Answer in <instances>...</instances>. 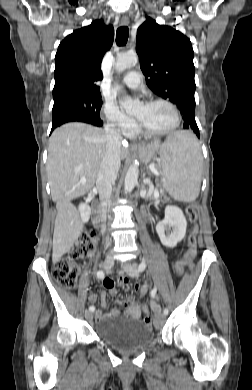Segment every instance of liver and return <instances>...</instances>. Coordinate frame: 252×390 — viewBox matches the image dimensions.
Wrapping results in <instances>:
<instances>
[{
  "instance_id": "obj_1",
  "label": "liver",
  "mask_w": 252,
  "mask_h": 390,
  "mask_svg": "<svg viewBox=\"0 0 252 390\" xmlns=\"http://www.w3.org/2000/svg\"><path fill=\"white\" fill-rule=\"evenodd\" d=\"M106 144L103 129L78 122L55 129L49 139L47 177L57 208L53 262H58L71 250L83 230V223L71 200L94 187ZM128 154V146L121 145L120 160L127 158ZM82 179L86 182L81 183Z\"/></svg>"
}]
</instances>
